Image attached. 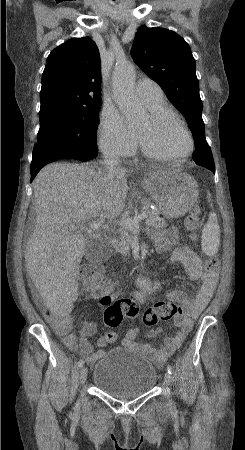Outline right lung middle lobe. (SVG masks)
I'll return each mask as SVG.
<instances>
[{
  "label": "right lung middle lobe",
  "instance_id": "dd1d6c3e",
  "mask_svg": "<svg viewBox=\"0 0 245 450\" xmlns=\"http://www.w3.org/2000/svg\"><path fill=\"white\" fill-rule=\"evenodd\" d=\"M101 104L92 108L55 104L40 109L38 145L32 163L63 152H96L94 129Z\"/></svg>",
  "mask_w": 245,
  "mask_h": 450
}]
</instances>
